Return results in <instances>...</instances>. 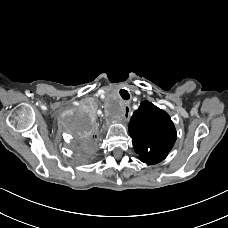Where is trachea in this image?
I'll return each mask as SVG.
<instances>
[{
  "instance_id": "trachea-1",
  "label": "trachea",
  "mask_w": 228,
  "mask_h": 228,
  "mask_svg": "<svg viewBox=\"0 0 228 228\" xmlns=\"http://www.w3.org/2000/svg\"><path fill=\"white\" fill-rule=\"evenodd\" d=\"M120 95L124 100H128L130 98V94L125 89L120 90Z\"/></svg>"
}]
</instances>
